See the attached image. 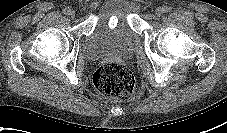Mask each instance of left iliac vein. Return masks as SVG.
Returning <instances> with one entry per match:
<instances>
[{"instance_id": "1", "label": "left iliac vein", "mask_w": 227, "mask_h": 133, "mask_svg": "<svg viewBox=\"0 0 227 133\" xmlns=\"http://www.w3.org/2000/svg\"><path fill=\"white\" fill-rule=\"evenodd\" d=\"M155 13L157 16H161L164 13V8L163 7L156 8Z\"/></svg>"}]
</instances>
